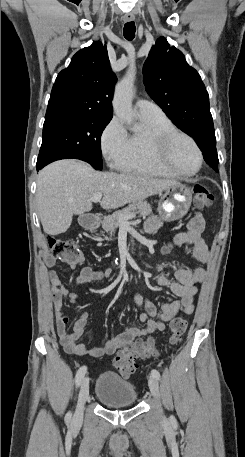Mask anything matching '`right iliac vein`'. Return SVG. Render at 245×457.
Instances as JSON below:
<instances>
[{"mask_svg": "<svg viewBox=\"0 0 245 457\" xmlns=\"http://www.w3.org/2000/svg\"><path fill=\"white\" fill-rule=\"evenodd\" d=\"M88 395H89V378L85 377V378H83L82 383H81L78 401H77V407H76V410L73 415L74 423H80L82 421L84 405L87 401Z\"/></svg>", "mask_w": 245, "mask_h": 457, "instance_id": "right-iliac-vein-1", "label": "right iliac vein"}]
</instances>
